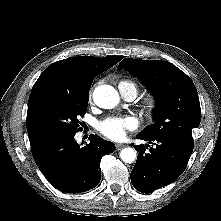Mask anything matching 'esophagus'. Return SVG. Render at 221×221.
Masks as SVG:
<instances>
[{
	"label": "esophagus",
	"instance_id": "1",
	"mask_svg": "<svg viewBox=\"0 0 221 221\" xmlns=\"http://www.w3.org/2000/svg\"><path fill=\"white\" fill-rule=\"evenodd\" d=\"M124 146V144H116V149L121 150Z\"/></svg>",
	"mask_w": 221,
	"mask_h": 221
}]
</instances>
